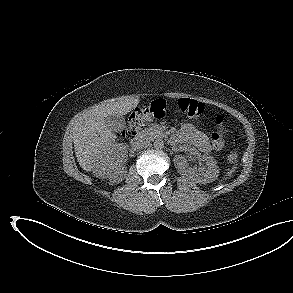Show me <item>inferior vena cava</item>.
<instances>
[{
  "instance_id": "602c4592",
  "label": "inferior vena cava",
  "mask_w": 293,
  "mask_h": 293,
  "mask_svg": "<svg viewBox=\"0 0 293 293\" xmlns=\"http://www.w3.org/2000/svg\"><path fill=\"white\" fill-rule=\"evenodd\" d=\"M150 145V141L147 139H140L136 141L133 145L134 149H143L147 148Z\"/></svg>"
}]
</instances>
